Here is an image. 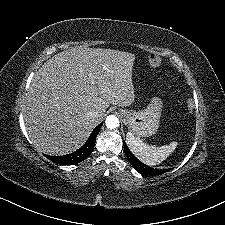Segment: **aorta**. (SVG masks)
<instances>
[{"mask_svg":"<svg viewBox=\"0 0 225 225\" xmlns=\"http://www.w3.org/2000/svg\"><path fill=\"white\" fill-rule=\"evenodd\" d=\"M105 124L108 129H114L119 126V119L115 115L107 116Z\"/></svg>","mask_w":225,"mask_h":225,"instance_id":"762f6f07","label":"aorta"}]
</instances>
